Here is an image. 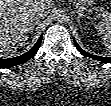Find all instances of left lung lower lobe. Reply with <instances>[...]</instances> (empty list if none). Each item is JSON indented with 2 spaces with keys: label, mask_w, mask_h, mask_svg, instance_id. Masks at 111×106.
Listing matches in <instances>:
<instances>
[{
  "label": "left lung lower lobe",
  "mask_w": 111,
  "mask_h": 106,
  "mask_svg": "<svg viewBox=\"0 0 111 106\" xmlns=\"http://www.w3.org/2000/svg\"><path fill=\"white\" fill-rule=\"evenodd\" d=\"M74 43H75V46L78 49V51L80 53H82L84 56H87V57H90V58H93V59H96V60H99L102 62L111 63V57H102V56H96V55L89 54L86 51L82 50L75 40H74Z\"/></svg>",
  "instance_id": "obj_1"
}]
</instances>
